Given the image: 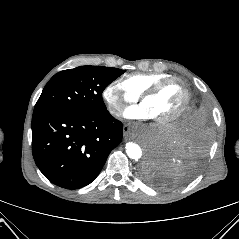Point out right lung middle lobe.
<instances>
[{
    "label": "right lung middle lobe",
    "instance_id": "1",
    "mask_svg": "<svg viewBox=\"0 0 239 239\" xmlns=\"http://www.w3.org/2000/svg\"><path fill=\"white\" fill-rule=\"evenodd\" d=\"M124 70L103 66H80L55 74L44 87L34 112L74 110L98 113L106 111L104 89Z\"/></svg>",
    "mask_w": 239,
    "mask_h": 239
}]
</instances>
